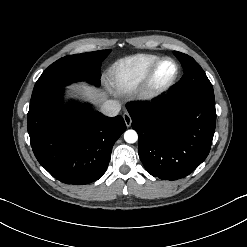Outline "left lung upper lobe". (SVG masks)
<instances>
[{
  "instance_id": "obj_1",
  "label": "left lung upper lobe",
  "mask_w": 247,
  "mask_h": 247,
  "mask_svg": "<svg viewBox=\"0 0 247 247\" xmlns=\"http://www.w3.org/2000/svg\"><path fill=\"white\" fill-rule=\"evenodd\" d=\"M184 68V75L171 90L172 95H183L194 92H213V87L200 65L190 56L173 51Z\"/></svg>"
}]
</instances>
